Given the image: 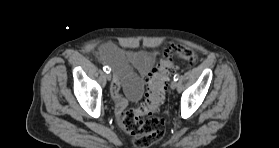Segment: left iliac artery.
<instances>
[{"label": "left iliac artery", "instance_id": "1", "mask_svg": "<svg viewBox=\"0 0 279 148\" xmlns=\"http://www.w3.org/2000/svg\"><path fill=\"white\" fill-rule=\"evenodd\" d=\"M179 78H180L179 74H175V75H174V80H175V81H178Z\"/></svg>", "mask_w": 279, "mask_h": 148}]
</instances>
